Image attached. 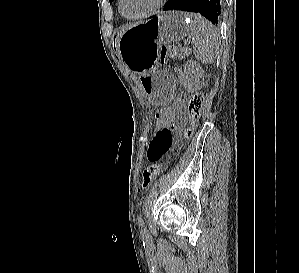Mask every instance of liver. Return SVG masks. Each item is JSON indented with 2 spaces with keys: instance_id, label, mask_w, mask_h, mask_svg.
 <instances>
[{
  "instance_id": "liver-1",
  "label": "liver",
  "mask_w": 299,
  "mask_h": 273,
  "mask_svg": "<svg viewBox=\"0 0 299 273\" xmlns=\"http://www.w3.org/2000/svg\"><path fill=\"white\" fill-rule=\"evenodd\" d=\"M142 22H136V23H130V24H127V25H124L120 28V32L118 33V36H117V39H116V43L118 44V41L120 39V37L122 36V34L128 30V29H131L133 27H136L138 25H140Z\"/></svg>"
}]
</instances>
